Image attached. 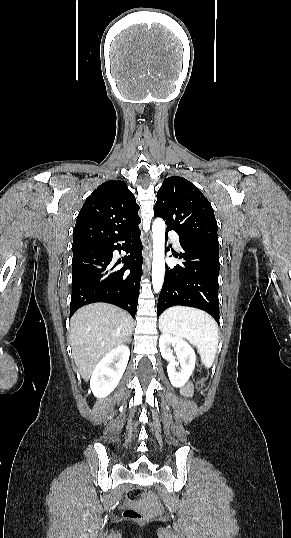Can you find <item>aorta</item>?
Segmentation results:
<instances>
[{"label":"aorta","instance_id":"aorta-1","mask_svg":"<svg viewBox=\"0 0 291 538\" xmlns=\"http://www.w3.org/2000/svg\"><path fill=\"white\" fill-rule=\"evenodd\" d=\"M153 232V262H152V285L154 292H160L165 274V222L156 218L152 225Z\"/></svg>","mask_w":291,"mask_h":538}]
</instances>
